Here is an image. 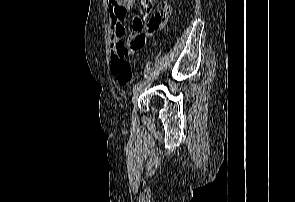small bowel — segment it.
Returning <instances> with one entry per match:
<instances>
[{
	"instance_id": "small-bowel-1",
	"label": "small bowel",
	"mask_w": 295,
	"mask_h": 202,
	"mask_svg": "<svg viewBox=\"0 0 295 202\" xmlns=\"http://www.w3.org/2000/svg\"><path fill=\"white\" fill-rule=\"evenodd\" d=\"M134 0H109V21H110V40H111V58L115 57L118 50L126 49L129 53H133L146 44L149 35L159 30L168 20L171 14L170 4L163 0V7L156 11L147 22H143L140 18H134L132 32L129 37L128 45L123 41L125 28L122 20L126 16L128 10L133 6ZM153 0H140V9L142 11L151 12L153 10Z\"/></svg>"
}]
</instances>
